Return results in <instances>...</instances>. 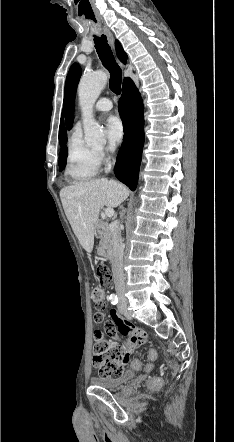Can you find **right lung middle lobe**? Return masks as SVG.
<instances>
[{
    "instance_id": "dd1d6c3e",
    "label": "right lung middle lobe",
    "mask_w": 234,
    "mask_h": 442,
    "mask_svg": "<svg viewBox=\"0 0 234 442\" xmlns=\"http://www.w3.org/2000/svg\"><path fill=\"white\" fill-rule=\"evenodd\" d=\"M68 155V150L66 147V144L64 146L61 147V153H60V157H59V169L60 171H62L65 166H66V158Z\"/></svg>"
}]
</instances>
